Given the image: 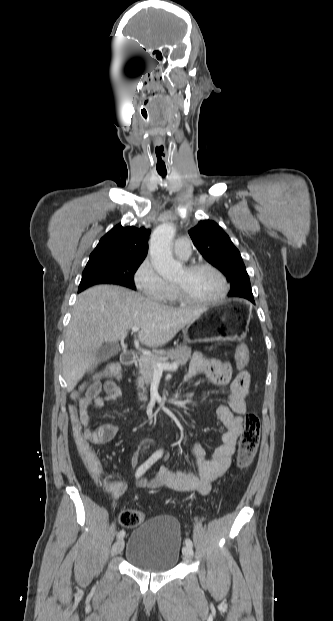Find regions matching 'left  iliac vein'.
I'll list each match as a JSON object with an SVG mask.
<instances>
[{"instance_id":"4c4485c4","label":"left iliac vein","mask_w":333,"mask_h":621,"mask_svg":"<svg viewBox=\"0 0 333 621\" xmlns=\"http://www.w3.org/2000/svg\"><path fill=\"white\" fill-rule=\"evenodd\" d=\"M182 552L187 559H191L193 557V549L189 546H184Z\"/></svg>"}]
</instances>
